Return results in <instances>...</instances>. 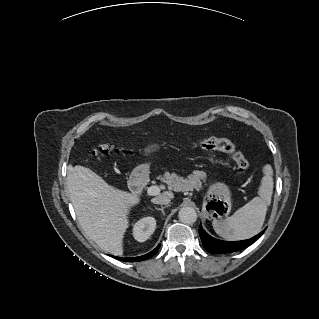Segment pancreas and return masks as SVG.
Wrapping results in <instances>:
<instances>
[{"label":"pancreas","mask_w":319,"mask_h":319,"mask_svg":"<svg viewBox=\"0 0 319 319\" xmlns=\"http://www.w3.org/2000/svg\"><path fill=\"white\" fill-rule=\"evenodd\" d=\"M200 177L195 174V176H192V179L185 180L188 183V188L198 187L200 185ZM164 179L167 181V183L174 187L175 189H179V183L182 180L179 176L172 175L169 173H166L164 175Z\"/></svg>","instance_id":"obj_1"}]
</instances>
